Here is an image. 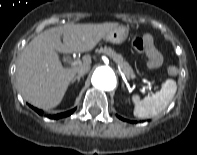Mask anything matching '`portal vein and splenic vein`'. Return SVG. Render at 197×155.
Segmentation results:
<instances>
[{
    "instance_id": "1",
    "label": "portal vein and splenic vein",
    "mask_w": 197,
    "mask_h": 155,
    "mask_svg": "<svg viewBox=\"0 0 197 155\" xmlns=\"http://www.w3.org/2000/svg\"><path fill=\"white\" fill-rule=\"evenodd\" d=\"M81 62L79 60L74 61L71 63L72 66H76L79 65ZM152 88V84L151 82L147 81V86H143V91H145V89H151Z\"/></svg>"
}]
</instances>
